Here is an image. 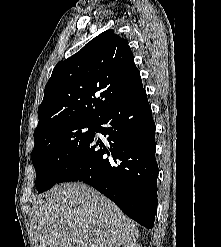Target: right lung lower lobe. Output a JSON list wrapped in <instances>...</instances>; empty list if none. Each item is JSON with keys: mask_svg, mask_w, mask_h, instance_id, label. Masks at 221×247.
I'll return each mask as SVG.
<instances>
[{"mask_svg": "<svg viewBox=\"0 0 221 247\" xmlns=\"http://www.w3.org/2000/svg\"><path fill=\"white\" fill-rule=\"evenodd\" d=\"M96 132L107 137L97 139ZM95 133L57 183H87L127 216L152 229L158 202V165L155 124L145 89L105 114Z\"/></svg>", "mask_w": 221, "mask_h": 247, "instance_id": "1", "label": "right lung lower lobe"}]
</instances>
